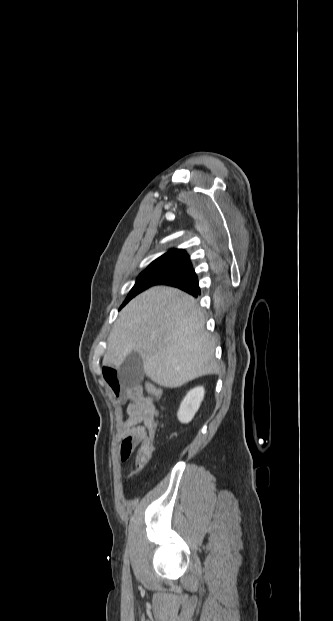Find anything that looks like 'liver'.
<instances>
[{"label": "liver", "mask_w": 333, "mask_h": 621, "mask_svg": "<svg viewBox=\"0 0 333 621\" xmlns=\"http://www.w3.org/2000/svg\"><path fill=\"white\" fill-rule=\"evenodd\" d=\"M215 342L194 297L172 287L155 286L131 300L108 338L103 364L120 367L135 352L156 384L176 388L218 372Z\"/></svg>", "instance_id": "1"}]
</instances>
